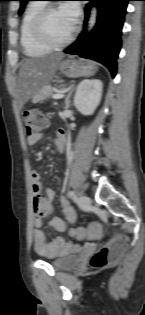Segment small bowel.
Masks as SVG:
<instances>
[{"label": "small bowel", "mask_w": 145, "mask_h": 315, "mask_svg": "<svg viewBox=\"0 0 145 315\" xmlns=\"http://www.w3.org/2000/svg\"><path fill=\"white\" fill-rule=\"evenodd\" d=\"M43 134L36 132L27 137V145L33 146L39 142ZM67 142V136L64 130L60 129L55 137V146L59 152H63ZM31 186L33 193V209H34V229L32 231V242L35 252L42 257L60 256L71 252L74 245L71 242L65 241L61 236H57L52 242L48 243L44 232L41 230L43 218L50 216L53 211L51 202L55 197V191L52 189H45L43 191L41 184L40 173L36 170L31 172ZM59 205L62 213L69 223L77 221V213L70 205L69 201L61 196L59 198ZM48 225L59 230L66 229V223L58 217H50ZM93 226V225H92ZM98 226V225H97Z\"/></svg>", "instance_id": "1"}]
</instances>
